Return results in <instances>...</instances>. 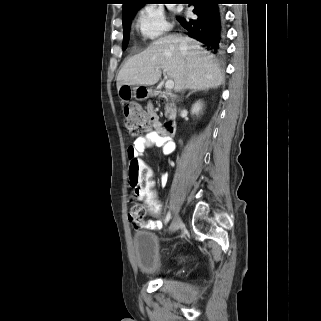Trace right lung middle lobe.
<instances>
[{"label":"right lung middle lobe","instance_id":"1","mask_svg":"<svg viewBox=\"0 0 321 321\" xmlns=\"http://www.w3.org/2000/svg\"><path fill=\"white\" fill-rule=\"evenodd\" d=\"M135 14H136V11L122 15L123 32H124L123 50L127 48L128 41H129L131 21L134 18Z\"/></svg>","mask_w":321,"mask_h":321}]
</instances>
